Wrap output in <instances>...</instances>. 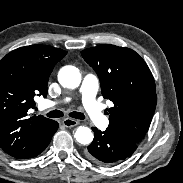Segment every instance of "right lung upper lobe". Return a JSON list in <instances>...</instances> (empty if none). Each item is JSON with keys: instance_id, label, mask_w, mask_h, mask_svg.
I'll list each match as a JSON object with an SVG mask.
<instances>
[{"instance_id": "cb5924a9", "label": "right lung upper lobe", "mask_w": 183, "mask_h": 183, "mask_svg": "<svg viewBox=\"0 0 183 183\" xmlns=\"http://www.w3.org/2000/svg\"><path fill=\"white\" fill-rule=\"evenodd\" d=\"M66 51L31 45L8 53L0 61V147L17 159L29 158L50 129L53 120L31 116L34 96H47L54 65Z\"/></svg>"}]
</instances>
